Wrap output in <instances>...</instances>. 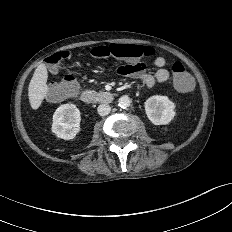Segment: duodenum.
Segmentation results:
<instances>
[{
	"mask_svg": "<svg viewBox=\"0 0 232 232\" xmlns=\"http://www.w3.org/2000/svg\"><path fill=\"white\" fill-rule=\"evenodd\" d=\"M80 100L86 104L100 103L108 104L114 99V95L108 91L95 92L91 90H84L79 95Z\"/></svg>",
	"mask_w": 232,
	"mask_h": 232,
	"instance_id": "410a0bca",
	"label": "duodenum"
}]
</instances>
